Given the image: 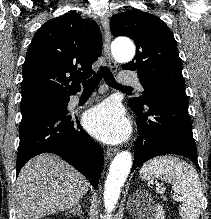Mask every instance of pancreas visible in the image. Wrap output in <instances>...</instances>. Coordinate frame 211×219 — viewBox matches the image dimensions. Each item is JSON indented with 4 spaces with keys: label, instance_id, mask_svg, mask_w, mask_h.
Instances as JSON below:
<instances>
[{
    "label": "pancreas",
    "instance_id": "pancreas-1",
    "mask_svg": "<svg viewBox=\"0 0 211 219\" xmlns=\"http://www.w3.org/2000/svg\"><path fill=\"white\" fill-rule=\"evenodd\" d=\"M163 200H167L165 197H163Z\"/></svg>",
    "mask_w": 211,
    "mask_h": 219
}]
</instances>
